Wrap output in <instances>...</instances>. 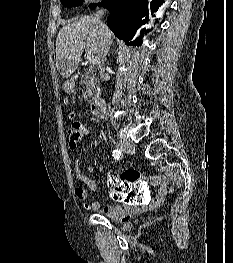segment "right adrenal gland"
<instances>
[{
    "instance_id": "obj_1",
    "label": "right adrenal gland",
    "mask_w": 233,
    "mask_h": 263,
    "mask_svg": "<svg viewBox=\"0 0 233 263\" xmlns=\"http://www.w3.org/2000/svg\"><path fill=\"white\" fill-rule=\"evenodd\" d=\"M112 41H109L105 50V56L109 53Z\"/></svg>"
}]
</instances>
